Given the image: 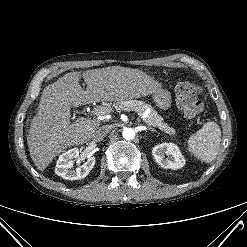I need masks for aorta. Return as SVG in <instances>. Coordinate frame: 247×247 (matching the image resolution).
Instances as JSON below:
<instances>
[{
  "label": "aorta",
  "instance_id": "762f6f07",
  "mask_svg": "<svg viewBox=\"0 0 247 247\" xmlns=\"http://www.w3.org/2000/svg\"><path fill=\"white\" fill-rule=\"evenodd\" d=\"M122 135L126 140H132L135 137V132L132 128H124Z\"/></svg>",
  "mask_w": 247,
  "mask_h": 247
}]
</instances>
